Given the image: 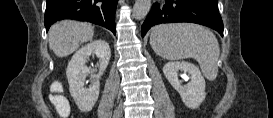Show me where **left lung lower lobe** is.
I'll use <instances>...</instances> for the list:
<instances>
[{"mask_svg":"<svg viewBox=\"0 0 273 118\" xmlns=\"http://www.w3.org/2000/svg\"><path fill=\"white\" fill-rule=\"evenodd\" d=\"M170 22H190L208 26L223 36V22L218 10V3L213 0H166L160 7L155 3L145 19L141 35L154 25Z\"/></svg>","mask_w":273,"mask_h":118,"instance_id":"obj_1","label":"left lung lower lobe"}]
</instances>
